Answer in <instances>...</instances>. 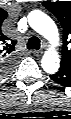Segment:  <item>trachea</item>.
I'll return each mask as SVG.
<instances>
[{"label": "trachea", "mask_w": 71, "mask_h": 119, "mask_svg": "<svg viewBox=\"0 0 71 119\" xmlns=\"http://www.w3.org/2000/svg\"><path fill=\"white\" fill-rule=\"evenodd\" d=\"M27 48H28V49H36V50H39V48H40V40H39V38L36 37V36L31 37V38L28 40Z\"/></svg>", "instance_id": "1"}]
</instances>
